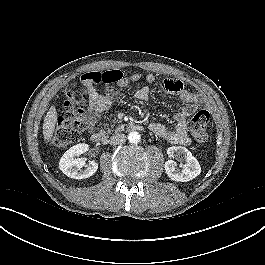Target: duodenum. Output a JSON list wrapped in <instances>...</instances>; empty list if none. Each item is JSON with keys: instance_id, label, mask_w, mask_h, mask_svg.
Returning a JSON list of instances; mask_svg holds the SVG:
<instances>
[{"instance_id": "410a0bca", "label": "duodenum", "mask_w": 265, "mask_h": 265, "mask_svg": "<svg viewBox=\"0 0 265 265\" xmlns=\"http://www.w3.org/2000/svg\"><path fill=\"white\" fill-rule=\"evenodd\" d=\"M129 130L131 131H138L142 130V126L138 124L130 125ZM91 140L95 144H104L107 140L106 136L101 132H94L91 134Z\"/></svg>"}]
</instances>
